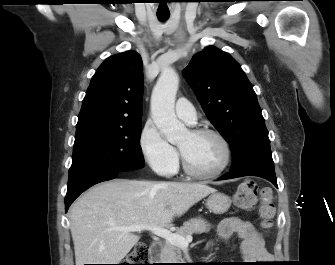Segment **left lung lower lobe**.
Wrapping results in <instances>:
<instances>
[{"mask_svg":"<svg viewBox=\"0 0 335 265\" xmlns=\"http://www.w3.org/2000/svg\"><path fill=\"white\" fill-rule=\"evenodd\" d=\"M242 176H259V177L269 180L275 187L278 188L275 173H271V172L264 171L261 169H247V170L238 171V172L230 171L229 174H226L225 176L221 177V179H232V178H237V177H242Z\"/></svg>","mask_w":335,"mask_h":265,"instance_id":"1","label":"left lung lower lobe"}]
</instances>
